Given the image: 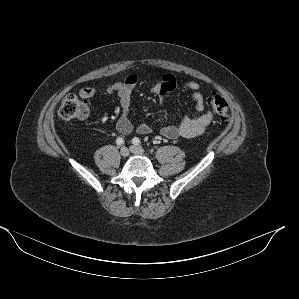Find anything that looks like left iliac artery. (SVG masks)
Instances as JSON below:
<instances>
[{
	"label": "left iliac artery",
	"instance_id": "1",
	"mask_svg": "<svg viewBox=\"0 0 299 299\" xmlns=\"http://www.w3.org/2000/svg\"><path fill=\"white\" fill-rule=\"evenodd\" d=\"M132 143H133L134 145H139V144L141 143V141H140V139H139L138 137H134V138L132 139Z\"/></svg>",
	"mask_w": 299,
	"mask_h": 299
}]
</instances>
